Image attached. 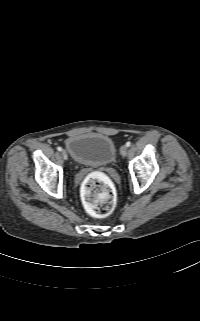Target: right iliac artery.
I'll list each match as a JSON object with an SVG mask.
<instances>
[{"instance_id": "1", "label": "right iliac artery", "mask_w": 200, "mask_h": 321, "mask_svg": "<svg viewBox=\"0 0 200 321\" xmlns=\"http://www.w3.org/2000/svg\"><path fill=\"white\" fill-rule=\"evenodd\" d=\"M58 151H62V148L60 146L57 147Z\"/></svg>"}]
</instances>
